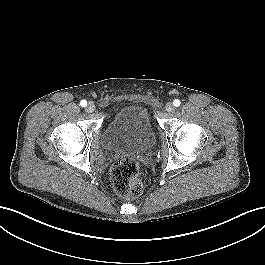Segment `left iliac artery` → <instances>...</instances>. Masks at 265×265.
<instances>
[{
	"instance_id": "left-iliac-artery-1",
	"label": "left iliac artery",
	"mask_w": 265,
	"mask_h": 265,
	"mask_svg": "<svg viewBox=\"0 0 265 265\" xmlns=\"http://www.w3.org/2000/svg\"><path fill=\"white\" fill-rule=\"evenodd\" d=\"M173 104H174V106L178 107V106H180L181 102H180V100L175 99Z\"/></svg>"
}]
</instances>
